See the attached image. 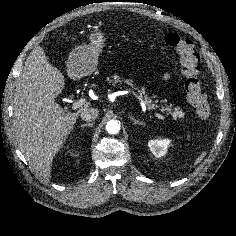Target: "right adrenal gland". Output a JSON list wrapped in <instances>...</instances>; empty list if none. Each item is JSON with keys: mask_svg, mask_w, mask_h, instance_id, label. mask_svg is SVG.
<instances>
[{"mask_svg": "<svg viewBox=\"0 0 236 236\" xmlns=\"http://www.w3.org/2000/svg\"><path fill=\"white\" fill-rule=\"evenodd\" d=\"M93 122L92 123H86V124H81V127L84 128V127H92L93 126Z\"/></svg>", "mask_w": 236, "mask_h": 236, "instance_id": "1", "label": "right adrenal gland"}]
</instances>
